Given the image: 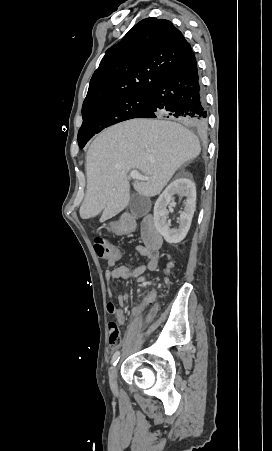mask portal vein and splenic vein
<instances>
[{
    "instance_id": "obj_1",
    "label": "portal vein and splenic vein",
    "mask_w": 272,
    "mask_h": 451,
    "mask_svg": "<svg viewBox=\"0 0 272 451\" xmlns=\"http://www.w3.org/2000/svg\"><path fill=\"white\" fill-rule=\"evenodd\" d=\"M130 178H132V180H148V178L142 176L138 170H132V172H130Z\"/></svg>"
}]
</instances>
